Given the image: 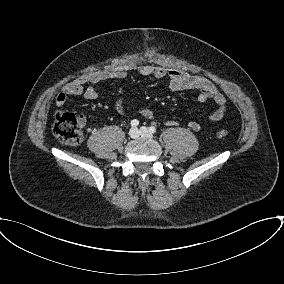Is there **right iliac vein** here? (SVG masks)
<instances>
[{"mask_svg":"<svg viewBox=\"0 0 284 284\" xmlns=\"http://www.w3.org/2000/svg\"><path fill=\"white\" fill-rule=\"evenodd\" d=\"M129 136L132 138V139H136L139 137V131L137 128H131L130 131H129Z\"/></svg>","mask_w":284,"mask_h":284,"instance_id":"63e3f726","label":"right iliac vein"}]
</instances>
